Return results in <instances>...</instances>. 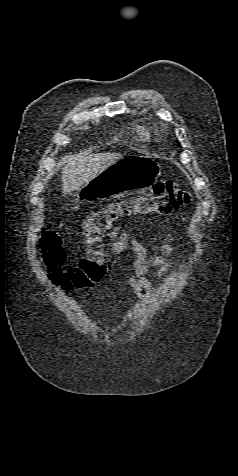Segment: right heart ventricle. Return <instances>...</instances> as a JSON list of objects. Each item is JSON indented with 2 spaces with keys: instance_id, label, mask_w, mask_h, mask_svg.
Instances as JSON below:
<instances>
[{
  "instance_id": "e07e8e85",
  "label": "right heart ventricle",
  "mask_w": 238,
  "mask_h": 476,
  "mask_svg": "<svg viewBox=\"0 0 238 476\" xmlns=\"http://www.w3.org/2000/svg\"><path fill=\"white\" fill-rule=\"evenodd\" d=\"M135 130L141 140H144V141L149 140V136H150L149 130L145 126L138 124L135 126Z\"/></svg>"
}]
</instances>
